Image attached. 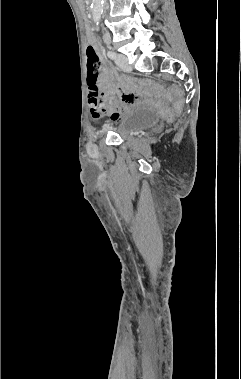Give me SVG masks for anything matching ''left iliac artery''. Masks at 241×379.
Returning <instances> with one entry per match:
<instances>
[{"label":"left iliac artery","mask_w":241,"mask_h":379,"mask_svg":"<svg viewBox=\"0 0 241 379\" xmlns=\"http://www.w3.org/2000/svg\"><path fill=\"white\" fill-rule=\"evenodd\" d=\"M107 56L111 59H114L116 57V53L109 49V51L107 52Z\"/></svg>","instance_id":"1"}]
</instances>
